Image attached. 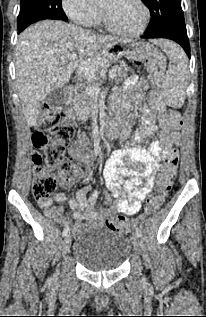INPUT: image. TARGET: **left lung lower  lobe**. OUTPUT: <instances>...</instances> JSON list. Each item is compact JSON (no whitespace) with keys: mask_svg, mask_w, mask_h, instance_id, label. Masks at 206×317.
<instances>
[{"mask_svg":"<svg viewBox=\"0 0 206 317\" xmlns=\"http://www.w3.org/2000/svg\"><path fill=\"white\" fill-rule=\"evenodd\" d=\"M142 38H166L177 42L190 58V47L187 32L183 30L167 29L153 34H145Z\"/></svg>","mask_w":206,"mask_h":317,"instance_id":"1","label":"left lung lower lobe"}]
</instances>
